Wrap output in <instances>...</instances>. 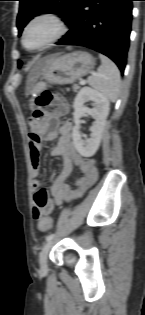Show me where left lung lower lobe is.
Here are the masks:
<instances>
[{"label":"left lung lower lobe","instance_id":"0a47b994","mask_svg":"<svg viewBox=\"0 0 145 315\" xmlns=\"http://www.w3.org/2000/svg\"><path fill=\"white\" fill-rule=\"evenodd\" d=\"M134 0H76L66 22L70 30L57 44L96 50L124 72L129 49Z\"/></svg>","mask_w":145,"mask_h":315}]
</instances>
